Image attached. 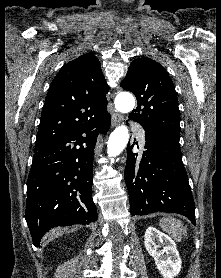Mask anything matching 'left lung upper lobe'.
<instances>
[{
    "label": "left lung upper lobe",
    "instance_id": "left-lung-upper-lobe-1",
    "mask_svg": "<svg viewBox=\"0 0 221 278\" xmlns=\"http://www.w3.org/2000/svg\"><path fill=\"white\" fill-rule=\"evenodd\" d=\"M120 86L136 96L138 106L129 118L140 123L145 132L180 135L178 98L162 65L147 57L137 58Z\"/></svg>",
    "mask_w": 221,
    "mask_h": 278
}]
</instances>
